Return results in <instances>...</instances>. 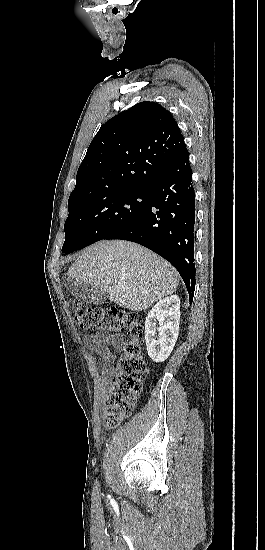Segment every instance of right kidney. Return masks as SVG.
<instances>
[{"label": "right kidney", "instance_id": "ca27d5eb", "mask_svg": "<svg viewBox=\"0 0 265 550\" xmlns=\"http://www.w3.org/2000/svg\"><path fill=\"white\" fill-rule=\"evenodd\" d=\"M179 321L180 299L177 295L160 300L149 311L145 320V340L148 355L154 362L160 363L169 357L177 341Z\"/></svg>", "mask_w": 265, "mask_h": 550}]
</instances>
